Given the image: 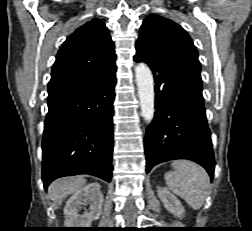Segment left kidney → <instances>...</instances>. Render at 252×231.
Instances as JSON below:
<instances>
[{
    "label": "left kidney",
    "mask_w": 252,
    "mask_h": 231,
    "mask_svg": "<svg viewBox=\"0 0 252 231\" xmlns=\"http://www.w3.org/2000/svg\"><path fill=\"white\" fill-rule=\"evenodd\" d=\"M157 193L165 208L176 217H182L185 210L178 198L166 188H157Z\"/></svg>",
    "instance_id": "left-kidney-1"
}]
</instances>
